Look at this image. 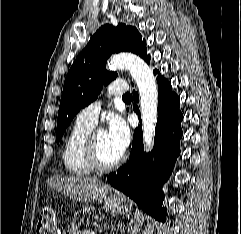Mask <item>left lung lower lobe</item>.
Wrapping results in <instances>:
<instances>
[{"mask_svg": "<svg viewBox=\"0 0 241 234\" xmlns=\"http://www.w3.org/2000/svg\"><path fill=\"white\" fill-rule=\"evenodd\" d=\"M145 61L149 63L150 56ZM154 74H158V119L154 148L148 154L144 152L142 127H138L134 131L128 163L107 176V180L113 187L133 199L144 212L165 221L166 209L162 208L164 197L161 186L169 178L180 153L183 115L179 110L180 98L172 91L171 84L157 69ZM133 96L134 101L138 102V94L135 91ZM134 111L140 118L136 105ZM153 154H156L155 163L151 162Z\"/></svg>", "mask_w": 241, "mask_h": 234, "instance_id": "left-lung-lower-lobe-1", "label": "left lung lower lobe"}]
</instances>
